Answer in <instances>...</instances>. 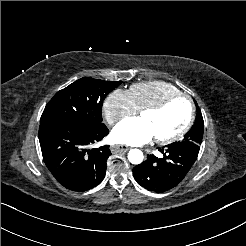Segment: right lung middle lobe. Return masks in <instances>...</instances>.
<instances>
[{"label":"right lung middle lobe","instance_id":"obj_1","mask_svg":"<svg viewBox=\"0 0 246 246\" xmlns=\"http://www.w3.org/2000/svg\"><path fill=\"white\" fill-rule=\"evenodd\" d=\"M122 82H110L83 77L57 92L46 105L40 124L73 122L97 126L102 122L104 98Z\"/></svg>","mask_w":246,"mask_h":246}]
</instances>
